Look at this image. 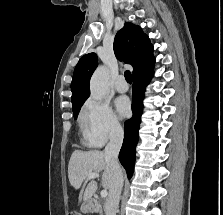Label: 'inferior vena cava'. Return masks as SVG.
Instances as JSON below:
<instances>
[{
	"label": "inferior vena cava",
	"instance_id": "obj_1",
	"mask_svg": "<svg viewBox=\"0 0 223 215\" xmlns=\"http://www.w3.org/2000/svg\"><path fill=\"white\" fill-rule=\"evenodd\" d=\"M124 133L122 127H112L109 139L105 147V157L110 159V169L112 171V181L109 187L108 197L104 205L106 215H116L120 193L123 185V173L118 163V153L122 145Z\"/></svg>",
	"mask_w": 223,
	"mask_h": 215
}]
</instances>
